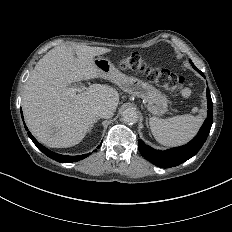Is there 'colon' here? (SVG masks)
<instances>
[{"mask_svg":"<svg viewBox=\"0 0 232 232\" xmlns=\"http://www.w3.org/2000/svg\"><path fill=\"white\" fill-rule=\"evenodd\" d=\"M146 56H139L136 52H130L127 56H119L115 65L119 69L128 70L129 73H140L146 78L155 81L164 91L174 92L179 97H189L193 88L184 77L179 74L168 73L163 66L148 65Z\"/></svg>","mask_w":232,"mask_h":232,"instance_id":"5ec220e1","label":"colon"}]
</instances>
